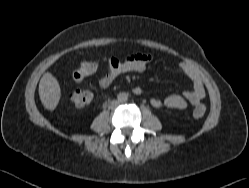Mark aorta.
Masks as SVG:
<instances>
[{
	"mask_svg": "<svg viewBox=\"0 0 249 188\" xmlns=\"http://www.w3.org/2000/svg\"><path fill=\"white\" fill-rule=\"evenodd\" d=\"M117 100L119 103H125L128 100V94L125 92H121L117 95Z\"/></svg>",
	"mask_w": 249,
	"mask_h": 188,
	"instance_id": "1",
	"label": "aorta"
}]
</instances>
